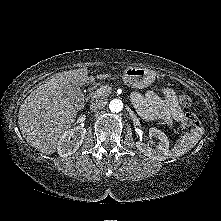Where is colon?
I'll return each mask as SVG.
<instances>
[{
	"mask_svg": "<svg viewBox=\"0 0 221 221\" xmlns=\"http://www.w3.org/2000/svg\"><path fill=\"white\" fill-rule=\"evenodd\" d=\"M178 102L183 108L189 109L193 106L192 98L184 91L179 92ZM182 125L185 129L191 130L199 125V120L193 113H186L182 119Z\"/></svg>",
	"mask_w": 221,
	"mask_h": 221,
	"instance_id": "5ec220e1",
	"label": "colon"
}]
</instances>
